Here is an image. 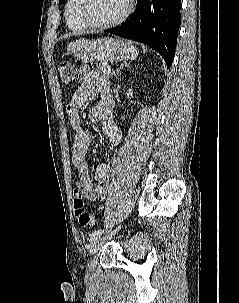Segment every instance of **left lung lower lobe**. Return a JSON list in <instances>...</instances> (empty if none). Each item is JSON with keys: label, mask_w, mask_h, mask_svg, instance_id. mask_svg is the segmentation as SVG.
<instances>
[{"label": "left lung lower lobe", "mask_w": 239, "mask_h": 303, "mask_svg": "<svg viewBox=\"0 0 239 303\" xmlns=\"http://www.w3.org/2000/svg\"><path fill=\"white\" fill-rule=\"evenodd\" d=\"M181 0H137L134 15L106 32L135 40L155 49L170 68L181 23Z\"/></svg>", "instance_id": "obj_1"}]
</instances>
